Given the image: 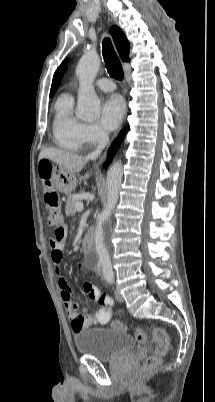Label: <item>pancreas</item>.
Instances as JSON below:
<instances>
[{
  "label": "pancreas",
  "mask_w": 215,
  "mask_h": 402,
  "mask_svg": "<svg viewBox=\"0 0 215 402\" xmlns=\"http://www.w3.org/2000/svg\"><path fill=\"white\" fill-rule=\"evenodd\" d=\"M78 202L75 195H70L68 197L66 206H65V213L67 216H73L76 212L75 204Z\"/></svg>",
  "instance_id": "pancreas-1"
}]
</instances>
